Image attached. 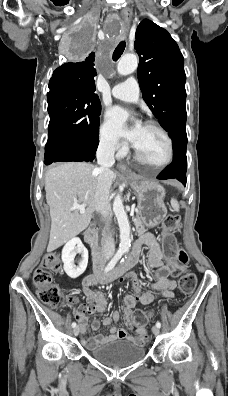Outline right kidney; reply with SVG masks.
Wrapping results in <instances>:
<instances>
[{
  "instance_id": "1",
  "label": "right kidney",
  "mask_w": 228,
  "mask_h": 396,
  "mask_svg": "<svg viewBox=\"0 0 228 396\" xmlns=\"http://www.w3.org/2000/svg\"><path fill=\"white\" fill-rule=\"evenodd\" d=\"M81 254V260L78 265H75V256ZM63 268L70 278H77L87 268L88 264V250L82 244L78 237L69 240L62 249Z\"/></svg>"
}]
</instances>
